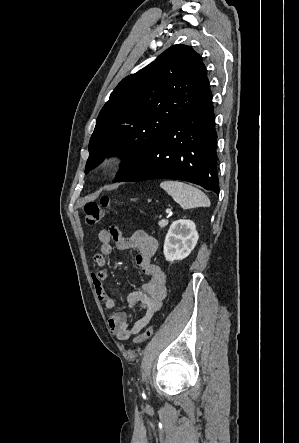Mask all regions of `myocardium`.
Listing matches in <instances>:
<instances>
[{
  "mask_svg": "<svg viewBox=\"0 0 299 443\" xmlns=\"http://www.w3.org/2000/svg\"><path fill=\"white\" fill-rule=\"evenodd\" d=\"M121 159V154L118 152L111 153L110 155L106 156L105 159L102 162L103 168H110L112 165H114L117 161Z\"/></svg>",
  "mask_w": 299,
  "mask_h": 443,
  "instance_id": "f54148a6",
  "label": "myocardium"
}]
</instances>
